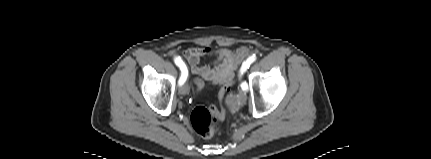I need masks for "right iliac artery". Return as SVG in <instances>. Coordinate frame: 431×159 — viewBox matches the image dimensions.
I'll use <instances>...</instances> for the list:
<instances>
[{"instance_id": "obj_1", "label": "right iliac artery", "mask_w": 431, "mask_h": 159, "mask_svg": "<svg viewBox=\"0 0 431 159\" xmlns=\"http://www.w3.org/2000/svg\"><path fill=\"white\" fill-rule=\"evenodd\" d=\"M174 61H175V64L180 68V70L182 72L181 77H180L179 82H178L179 85H182L187 79L188 70L186 68V65L184 64V62L182 61V59L180 57L174 58Z\"/></svg>"}]
</instances>
